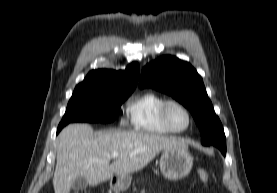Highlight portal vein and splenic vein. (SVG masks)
Masks as SVG:
<instances>
[{"label":"portal vein and splenic vein","mask_w":277,"mask_h":193,"mask_svg":"<svg viewBox=\"0 0 277 193\" xmlns=\"http://www.w3.org/2000/svg\"><path fill=\"white\" fill-rule=\"evenodd\" d=\"M119 156V153L118 152H113L111 154V158H117Z\"/></svg>","instance_id":"18ae733b"}]
</instances>
